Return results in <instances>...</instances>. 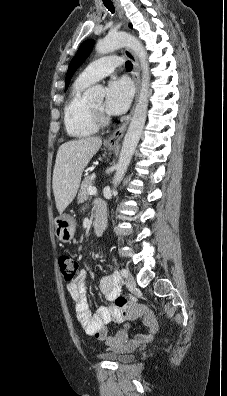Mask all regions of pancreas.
Returning a JSON list of instances; mask_svg holds the SVG:
<instances>
[{
  "label": "pancreas",
  "instance_id": "cf45deb5",
  "mask_svg": "<svg viewBox=\"0 0 227 396\" xmlns=\"http://www.w3.org/2000/svg\"><path fill=\"white\" fill-rule=\"evenodd\" d=\"M93 186V179L90 176H87L84 178L82 184H81V189L78 194V202L82 203L85 200H87L89 193H88V188Z\"/></svg>",
  "mask_w": 227,
  "mask_h": 396
}]
</instances>
